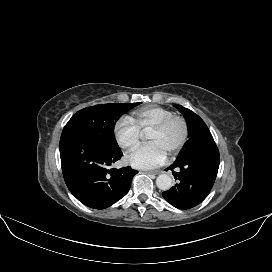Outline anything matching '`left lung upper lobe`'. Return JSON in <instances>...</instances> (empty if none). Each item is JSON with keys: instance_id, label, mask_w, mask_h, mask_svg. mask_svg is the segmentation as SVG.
Listing matches in <instances>:
<instances>
[{"instance_id": "5c2ea615", "label": "left lung upper lobe", "mask_w": 272, "mask_h": 272, "mask_svg": "<svg viewBox=\"0 0 272 272\" xmlns=\"http://www.w3.org/2000/svg\"><path fill=\"white\" fill-rule=\"evenodd\" d=\"M175 107L183 114L188 125L189 140L179 153V157L209 144H214V139L204 121L191 110L181 106Z\"/></svg>"}]
</instances>
